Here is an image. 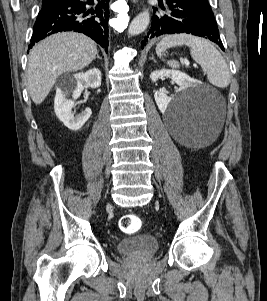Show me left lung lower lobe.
<instances>
[{"label": "left lung lower lobe", "instance_id": "obj_1", "mask_svg": "<svg viewBox=\"0 0 267 301\" xmlns=\"http://www.w3.org/2000/svg\"><path fill=\"white\" fill-rule=\"evenodd\" d=\"M167 5L165 14L157 13L152 17L151 27L141 42V48L148 39L164 34L186 33L209 39L224 50L214 15L189 0H167ZM159 6L165 10L161 4Z\"/></svg>", "mask_w": 267, "mask_h": 301}]
</instances>
